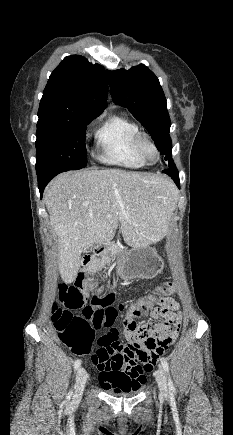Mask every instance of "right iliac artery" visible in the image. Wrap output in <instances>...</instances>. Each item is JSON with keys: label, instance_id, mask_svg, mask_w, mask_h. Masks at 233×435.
<instances>
[{"label": "right iliac artery", "instance_id": "1", "mask_svg": "<svg viewBox=\"0 0 233 435\" xmlns=\"http://www.w3.org/2000/svg\"><path fill=\"white\" fill-rule=\"evenodd\" d=\"M81 366V361L80 360H76L74 362V369L77 370L79 367ZM72 392L69 393V396H71Z\"/></svg>", "mask_w": 233, "mask_h": 435}]
</instances>
